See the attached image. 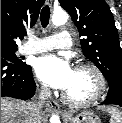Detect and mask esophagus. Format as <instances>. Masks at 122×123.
I'll return each mask as SVG.
<instances>
[{
  "mask_svg": "<svg viewBox=\"0 0 122 123\" xmlns=\"http://www.w3.org/2000/svg\"><path fill=\"white\" fill-rule=\"evenodd\" d=\"M46 4L51 6L52 5V1L51 0H47ZM48 107H49V110L52 111V112H58L60 110L58 102L56 100H54V99H51V100L48 101Z\"/></svg>",
  "mask_w": 122,
  "mask_h": 123,
  "instance_id": "esophagus-1",
  "label": "esophagus"
}]
</instances>
